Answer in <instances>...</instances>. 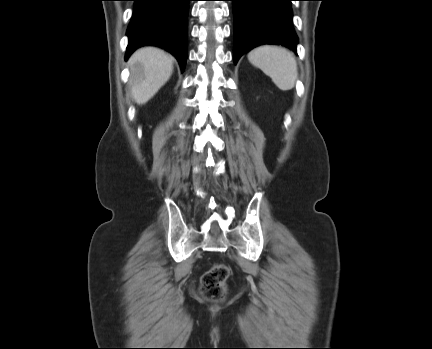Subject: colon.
<instances>
[{
  "label": "colon",
  "mask_w": 432,
  "mask_h": 349,
  "mask_svg": "<svg viewBox=\"0 0 432 349\" xmlns=\"http://www.w3.org/2000/svg\"><path fill=\"white\" fill-rule=\"evenodd\" d=\"M229 277V268L225 264H216L204 273L201 279V293L205 298L219 301L225 297V283Z\"/></svg>",
  "instance_id": "obj_1"
}]
</instances>
